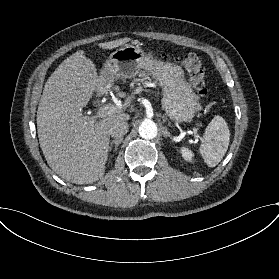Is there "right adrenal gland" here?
<instances>
[{
	"label": "right adrenal gland",
	"instance_id": "obj_1",
	"mask_svg": "<svg viewBox=\"0 0 279 279\" xmlns=\"http://www.w3.org/2000/svg\"><path fill=\"white\" fill-rule=\"evenodd\" d=\"M121 142H122V138H120V139H118V140H114V141L111 143V145H110L108 151H109V152H112V148L114 147V152H117L118 146H119V144H121Z\"/></svg>",
	"mask_w": 279,
	"mask_h": 279
}]
</instances>
